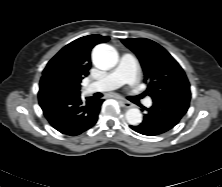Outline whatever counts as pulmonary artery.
I'll list each match as a JSON object with an SVG mask.
<instances>
[{
  "label": "pulmonary artery",
  "mask_w": 222,
  "mask_h": 187,
  "mask_svg": "<svg viewBox=\"0 0 222 187\" xmlns=\"http://www.w3.org/2000/svg\"><path fill=\"white\" fill-rule=\"evenodd\" d=\"M139 73L135 58L131 54H123L119 64L115 69L110 71L104 78L89 84L86 91H110L127 83L135 85L138 82ZM144 104L147 107L152 105V100L146 98Z\"/></svg>",
  "instance_id": "pulmonary-artery-1"
}]
</instances>
